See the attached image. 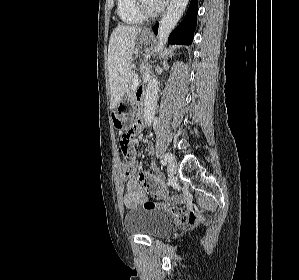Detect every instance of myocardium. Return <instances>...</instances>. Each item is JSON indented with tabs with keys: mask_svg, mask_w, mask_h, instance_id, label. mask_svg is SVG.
Segmentation results:
<instances>
[{
	"mask_svg": "<svg viewBox=\"0 0 299 280\" xmlns=\"http://www.w3.org/2000/svg\"><path fill=\"white\" fill-rule=\"evenodd\" d=\"M135 8L144 18L156 17L164 10V3L155 10H149L144 3V0H134Z\"/></svg>",
	"mask_w": 299,
	"mask_h": 280,
	"instance_id": "f54148a6",
	"label": "myocardium"
}]
</instances>
